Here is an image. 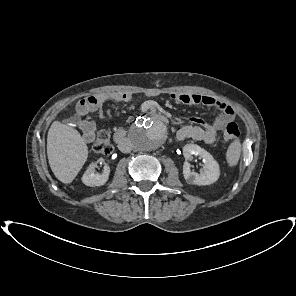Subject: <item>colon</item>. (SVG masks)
<instances>
[{
	"mask_svg": "<svg viewBox=\"0 0 296 296\" xmlns=\"http://www.w3.org/2000/svg\"><path fill=\"white\" fill-rule=\"evenodd\" d=\"M223 139L231 141L239 136V127L235 122L227 124L223 131ZM92 149L96 154L108 156L112 153L113 147L110 141V135L107 131L102 130L98 133L96 140L92 145Z\"/></svg>",
	"mask_w": 296,
	"mask_h": 296,
	"instance_id": "5ec220e1",
	"label": "colon"
}]
</instances>
